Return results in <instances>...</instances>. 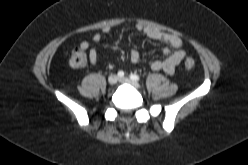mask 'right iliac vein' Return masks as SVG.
Returning <instances> with one entry per match:
<instances>
[{"mask_svg":"<svg viewBox=\"0 0 248 165\" xmlns=\"http://www.w3.org/2000/svg\"><path fill=\"white\" fill-rule=\"evenodd\" d=\"M118 81V77L115 75V74H111L109 77H108V83L110 85H115Z\"/></svg>","mask_w":248,"mask_h":165,"instance_id":"1","label":"right iliac vein"}]
</instances>
